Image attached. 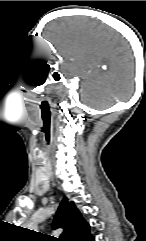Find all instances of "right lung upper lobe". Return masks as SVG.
<instances>
[{
    "instance_id": "right-lung-upper-lobe-1",
    "label": "right lung upper lobe",
    "mask_w": 146,
    "mask_h": 241,
    "mask_svg": "<svg viewBox=\"0 0 146 241\" xmlns=\"http://www.w3.org/2000/svg\"><path fill=\"white\" fill-rule=\"evenodd\" d=\"M53 228H63L58 241H88L90 239V226L82 218L74 202L66 197L62 200L53 222Z\"/></svg>"
}]
</instances>
